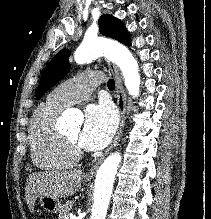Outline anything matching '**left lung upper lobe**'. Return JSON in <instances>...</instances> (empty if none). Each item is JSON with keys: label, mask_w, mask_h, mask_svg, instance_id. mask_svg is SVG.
I'll return each mask as SVG.
<instances>
[{"label": "left lung upper lobe", "mask_w": 211, "mask_h": 219, "mask_svg": "<svg viewBox=\"0 0 211 219\" xmlns=\"http://www.w3.org/2000/svg\"><path fill=\"white\" fill-rule=\"evenodd\" d=\"M99 30L100 33L106 36L114 38L128 46L131 45L130 36L124 24L112 15H102L99 18ZM69 56L70 51L68 49H63L49 62L40 79L36 93L37 99L41 98L50 87L68 73L70 68L68 62Z\"/></svg>", "instance_id": "left-lung-upper-lobe-1"}]
</instances>
